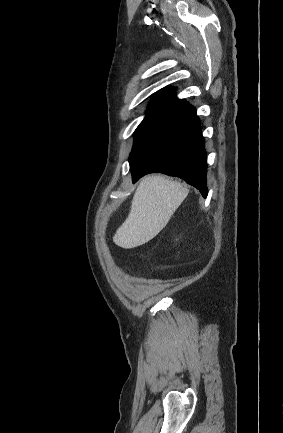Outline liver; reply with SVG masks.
I'll use <instances>...</instances> for the list:
<instances>
[{"instance_id": "1", "label": "liver", "mask_w": 283, "mask_h": 433, "mask_svg": "<svg viewBox=\"0 0 283 433\" xmlns=\"http://www.w3.org/2000/svg\"><path fill=\"white\" fill-rule=\"evenodd\" d=\"M189 188L160 174L141 180L132 200L130 212L113 241L122 249H134L154 239L166 227L172 214L183 202Z\"/></svg>"}]
</instances>
